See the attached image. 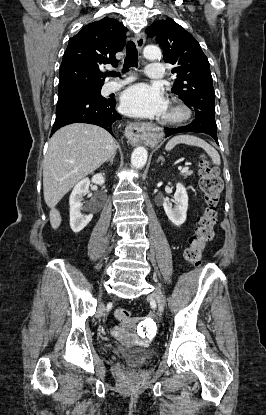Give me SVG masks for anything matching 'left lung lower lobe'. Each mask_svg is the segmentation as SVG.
Listing matches in <instances>:
<instances>
[{"instance_id": "left-lung-lower-lobe-1", "label": "left lung lower lobe", "mask_w": 266, "mask_h": 415, "mask_svg": "<svg viewBox=\"0 0 266 415\" xmlns=\"http://www.w3.org/2000/svg\"><path fill=\"white\" fill-rule=\"evenodd\" d=\"M182 132H201V131H198V130L194 129V128L190 127L189 125L183 126V127H180V128H165V133H166L165 137H168V136L176 134V133H182ZM201 133H204V132H201ZM206 134L213 137L214 140L216 141V143L218 144L217 134H212V133H206Z\"/></svg>"}]
</instances>
